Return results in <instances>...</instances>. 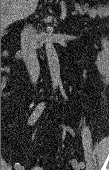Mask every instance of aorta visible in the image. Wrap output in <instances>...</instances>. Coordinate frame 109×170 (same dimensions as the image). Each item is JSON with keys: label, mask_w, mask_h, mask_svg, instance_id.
I'll use <instances>...</instances> for the list:
<instances>
[{"label": "aorta", "mask_w": 109, "mask_h": 170, "mask_svg": "<svg viewBox=\"0 0 109 170\" xmlns=\"http://www.w3.org/2000/svg\"><path fill=\"white\" fill-rule=\"evenodd\" d=\"M44 42L52 86L53 90H56L58 85L61 83L59 58L53 45V41L50 34L46 35Z\"/></svg>", "instance_id": "aorta-1"}]
</instances>
